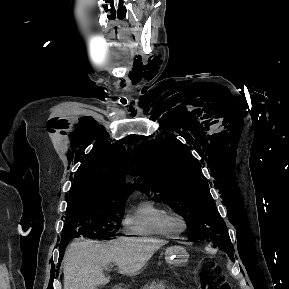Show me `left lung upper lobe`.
Wrapping results in <instances>:
<instances>
[{
  "instance_id": "5c2ea615",
  "label": "left lung upper lobe",
  "mask_w": 289,
  "mask_h": 289,
  "mask_svg": "<svg viewBox=\"0 0 289 289\" xmlns=\"http://www.w3.org/2000/svg\"><path fill=\"white\" fill-rule=\"evenodd\" d=\"M140 146L138 170L142 177L138 184H142L136 187L158 193L156 201H165L187 218L189 240L212 242L234 261L226 224L217 211L200 164L187 146L172 135L159 136Z\"/></svg>"
}]
</instances>
